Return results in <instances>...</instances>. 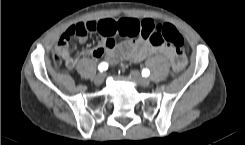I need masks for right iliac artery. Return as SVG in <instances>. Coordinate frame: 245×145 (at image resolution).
<instances>
[{"label":"right iliac artery","mask_w":245,"mask_h":145,"mask_svg":"<svg viewBox=\"0 0 245 145\" xmlns=\"http://www.w3.org/2000/svg\"><path fill=\"white\" fill-rule=\"evenodd\" d=\"M107 68H108V63H106V62H102V63H100L99 66H98V70H99L100 72L105 71Z\"/></svg>","instance_id":"right-iliac-artery-1"}]
</instances>
